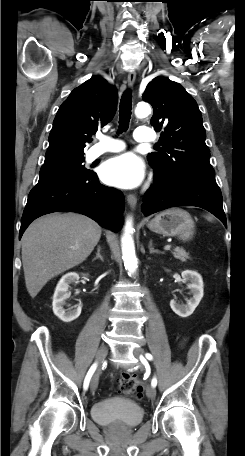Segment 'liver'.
<instances>
[{
    "mask_svg": "<svg viewBox=\"0 0 245 456\" xmlns=\"http://www.w3.org/2000/svg\"><path fill=\"white\" fill-rule=\"evenodd\" d=\"M101 227L77 213H54L35 220L22 237L25 283L32 298L53 277L69 270L91 254Z\"/></svg>",
    "mask_w": 245,
    "mask_h": 456,
    "instance_id": "6515ba94",
    "label": "liver"
}]
</instances>
